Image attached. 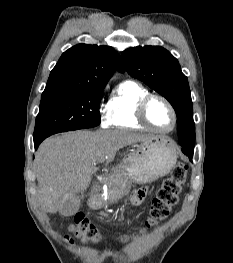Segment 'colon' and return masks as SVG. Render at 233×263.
<instances>
[{
	"label": "colon",
	"instance_id": "1",
	"mask_svg": "<svg viewBox=\"0 0 233 263\" xmlns=\"http://www.w3.org/2000/svg\"><path fill=\"white\" fill-rule=\"evenodd\" d=\"M186 173V165L178 163L170 175L164 179L153 199L150 215L144 226L140 228L141 232L146 231L169 215L172 207L178 202V195L186 181ZM70 231L76 238L84 242H96L102 238L101 233L82 215L75 216ZM129 238V234L121 236L122 241H127Z\"/></svg>",
	"mask_w": 233,
	"mask_h": 263
}]
</instances>
